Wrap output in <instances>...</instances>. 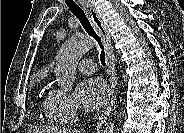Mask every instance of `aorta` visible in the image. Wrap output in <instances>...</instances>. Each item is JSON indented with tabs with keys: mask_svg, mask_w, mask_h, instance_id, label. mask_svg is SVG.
<instances>
[{
	"mask_svg": "<svg viewBox=\"0 0 184 133\" xmlns=\"http://www.w3.org/2000/svg\"><path fill=\"white\" fill-rule=\"evenodd\" d=\"M94 46V42L86 35L77 34L65 41L56 59L55 75L59 86L71 90L76 77V68L82 56ZM115 124L106 125L104 133H114Z\"/></svg>",
	"mask_w": 184,
	"mask_h": 133,
	"instance_id": "1",
	"label": "aorta"
}]
</instances>
